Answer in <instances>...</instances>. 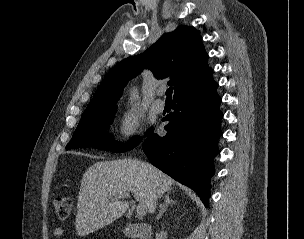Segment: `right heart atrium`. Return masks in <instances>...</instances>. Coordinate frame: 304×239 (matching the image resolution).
<instances>
[{"label": "right heart atrium", "mask_w": 304, "mask_h": 239, "mask_svg": "<svg viewBox=\"0 0 304 239\" xmlns=\"http://www.w3.org/2000/svg\"><path fill=\"white\" fill-rule=\"evenodd\" d=\"M140 122L141 118L136 110H127L120 116L118 120L116 128L118 136L125 141L134 139L138 134Z\"/></svg>", "instance_id": "right-heart-atrium-1"}]
</instances>
